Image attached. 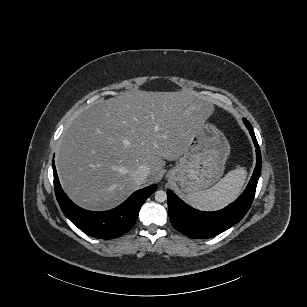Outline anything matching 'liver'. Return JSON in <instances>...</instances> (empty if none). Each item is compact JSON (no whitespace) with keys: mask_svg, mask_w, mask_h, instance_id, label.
<instances>
[{"mask_svg":"<svg viewBox=\"0 0 307 307\" xmlns=\"http://www.w3.org/2000/svg\"><path fill=\"white\" fill-rule=\"evenodd\" d=\"M213 104L188 91L122 92L79 114L55 156L60 184L74 204L101 212L123 203L138 185L133 173L149 166L158 179L167 160L186 152Z\"/></svg>","mask_w":307,"mask_h":307,"instance_id":"obj_1","label":"liver"}]
</instances>
